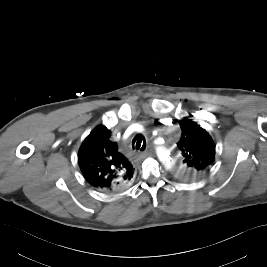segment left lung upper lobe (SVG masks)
<instances>
[{"label":"left lung upper lobe","instance_id":"5c2ea615","mask_svg":"<svg viewBox=\"0 0 267 267\" xmlns=\"http://www.w3.org/2000/svg\"><path fill=\"white\" fill-rule=\"evenodd\" d=\"M182 135L178 143L183 155L180 175L184 180L202 177L213 166L215 146L211 136L190 119L180 121Z\"/></svg>","mask_w":267,"mask_h":267}]
</instances>
